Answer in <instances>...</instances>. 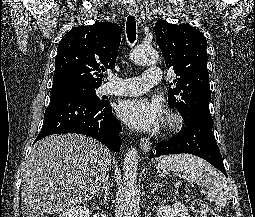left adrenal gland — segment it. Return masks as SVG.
<instances>
[{
	"instance_id": "1",
	"label": "left adrenal gland",
	"mask_w": 255,
	"mask_h": 217,
	"mask_svg": "<svg viewBox=\"0 0 255 217\" xmlns=\"http://www.w3.org/2000/svg\"><path fill=\"white\" fill-rule=\"evenodd\" d=\"M159 186H161V187H162L163 185H162V184H158V183L154 182V183H153V189H152L151 193H152V194H154L155 190H156Z\"/></svg>"
}]
</instances>
